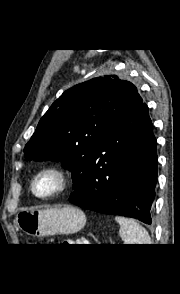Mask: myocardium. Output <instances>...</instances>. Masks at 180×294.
Returning a JSON list of instances; mask_svg holds the SVG:
<instances>
[{"label":"myocardium","instance_id":"f54148a6","mask_svg":"<svg viewBox=\"0 0 180 294\" xmlns=\"http://www.w3.org/2000/svg\"><path fill=\"white\" fill-rule=\"evenodd\" d=\"M51 174L57 177L58 185L57 187L49 193L40 194L36 190V182L39 177L43 175ZM71 184V175L70 172L62 165L53 164L43 169L39 170L31 180V192L40 199H50L62 192H64Z\"/></svg>","mask_w":180,"mask_h":294}]
</instances>
